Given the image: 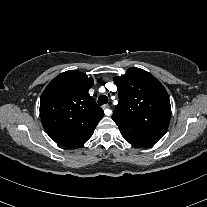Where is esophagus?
Wrapping results in <instances>:
<instances>
[{
  "instance_id": "esophagus-1",
  "label": "esophagus",
  "mask_w": 207,
  "mask_h": 207,
  "mask_svg": "<svg viewBox=\"0 0 207 207\" xmlns=\"http://www.w3.org/2000/svg\"><path fill=\"white\" fill-rule=\"evenodd\" d=\"M109 105L108 104H105V105H103L102 106V108H103V110H104V113H105V115H107V116H110V115H112V111L109 109Z\"/></svg>"
}]
</instances>
